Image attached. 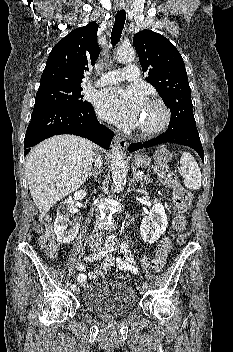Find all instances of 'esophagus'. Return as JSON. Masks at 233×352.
Here are the masks:
<instances>
[{"instance_id":"34e87169","label":"esophagus","mask_w":233,"mask_h":352,"mask_svg":"<svg viewBox=\"0 0 233 352\" xmlns=\"http://www.w3.org/2000/svg\"><path fill=\"white\" fill-rule=\"evenodd\" d=\"M115 141H116V144L118 145V147L120 149H125V147L128 144L126 139L123 136H121V135H117L116 138H115Z\"/></svg>"}]
</instances>
